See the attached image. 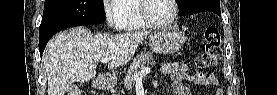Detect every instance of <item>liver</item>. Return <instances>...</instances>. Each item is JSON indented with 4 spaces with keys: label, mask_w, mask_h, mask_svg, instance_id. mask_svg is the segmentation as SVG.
Here are the masks:
<instances>
[{
    "label": "liver",
    "mask_w": 277,
    "mask_h": 95,
    "mask_svg": "<svg viewBox=\"0 0 277 95\" xmlns=\"http://www.w3.org/2000/svg\"><path fill=\"white\" fill-rule=\"evenodd\" d=\"M148 32L93 34L84 27L60 32L48 42L42 57L47 74L48 95H64L74 82L96 76L97 64L111 57L108 69L125 65Z\"/></svg>",
    "instance_id": "1"
}]
</instances>
